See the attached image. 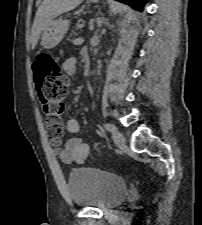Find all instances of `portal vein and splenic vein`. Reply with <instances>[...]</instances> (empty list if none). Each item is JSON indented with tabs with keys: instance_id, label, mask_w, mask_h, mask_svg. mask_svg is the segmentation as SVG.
I'll list each match as a JSON object with an SVG mask.
<instances>
[{
	"instance_id": "18ae733b",
	"label": "portal vein and splenic vein",
	"mask_w": 202,
	"mask_h": 225,
	"mask_svg": "<svg viewBox=\"0 0 202 225\" xmlns=\"http://www.w3.org/2000/svg\"><path fill=\"white\" fill-rule=\"evenodd\" d=\"M82 42V38H77L74 40V43H81Z\"/></svg>"
}]
</instances>
